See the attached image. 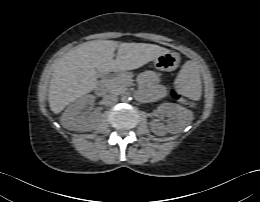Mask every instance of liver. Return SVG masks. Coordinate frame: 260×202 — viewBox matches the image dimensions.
I'll list each match as a JSON object with an SVG mask.
<instances>
[{
    "label": "liver",
    "mask_w": 260,
    "mask_h": 202,
    "mask_svg": "<svg viewBox=\"0 0 260 202\" xmlns=\"http://www.w3.org/2000/svg\"><path fill=\"white\" fill-rule=\"evenodd\" d=\"M116 59H113L115 50ZM168 49L148 43H120L112 40L84 42L65 53L54 68L49 86V106L59 114L67 105L93 91L97 73L137 69Z\"/></svg>",
    "instance_id": "6515ba94"
}]
</instances>
